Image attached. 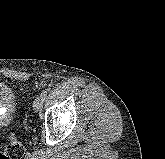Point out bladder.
<instances>
[{"label":"bladder","mask_w":165,"mask_h":159,"mask_svg":"<svg viewBox=\"0 0 165 159\" xmlns=\"http://www.w3.org/2000/svg\"><path fill=\"white\" fill-rule=\"evenodd\" d=\"M14 102V94L11 88L0 82V106L10 105Z\"/></svg>","instance_id":"bladder-1"}]
</instances>
